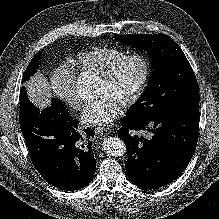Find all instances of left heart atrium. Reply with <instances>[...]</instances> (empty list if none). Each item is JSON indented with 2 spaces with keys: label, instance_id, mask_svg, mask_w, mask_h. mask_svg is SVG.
I'll return each instance as SVG.
<instances>
[{
  "label": "left heart atrium",
  "instance_id": "1",
  "mask_svg": "<svg viewBox=\"0 0 219 219\" xmlns=\"http://www.w3.org/2000/svg\"><path fill=\"white\" fill-rule=\"evenodd\" d=\"M121 107L122 105L111 97L101 96L85 108L81 115V120L87 125L105 126L119 116Z\"/></svg>",
  "mask_w": 219,
  "mask_h": 219
}]
</instances>
